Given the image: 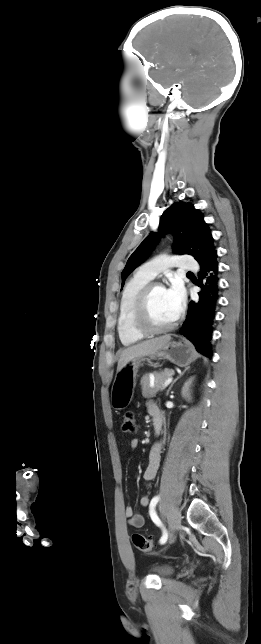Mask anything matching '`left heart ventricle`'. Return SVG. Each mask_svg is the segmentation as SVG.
Instances as JSON below:
<instances>
[{"label":"left heart ventricle","instance_id":"b2bd125f","mask_svg":"<svg viewBox=\"0 0 261 644\" xmlns=\"http://www.w3.org/2000/svg\"><path fill=\"white\" fill-rule=\"evenodd\" d=\"M148 318L151 324L162 327L170 324L176 314L163 288H155L148 303Z\"/></svg>","mask_w":261,"mask_h":644}]
</instances>
